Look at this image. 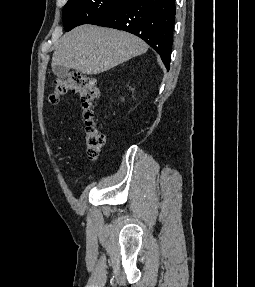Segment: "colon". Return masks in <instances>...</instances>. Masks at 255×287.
I'll list each match as a JSON object with an SVG mask.
<instances>
[{
    "instance_id": "obj_1",
    "label": "colon",
    "mask_w": 255,
    "mask_h": 287,
    "mask_svg": "<svg viewBox=\"0 0 255 287\" xmlns=\"http://www.w3.org/2000/svg\"><path fill=\"white\" fill-rule=\"evenodd\" d=\"M78 94L83 107V119L85 124V147L90 160H96L105 143L103 133L94 122V105L100 96V89L94 78L84 76L79 72H71L66 78L57 80L53 90L49 94V102L58 104L66 95Z\"/></svg>"
}]
</instances>
